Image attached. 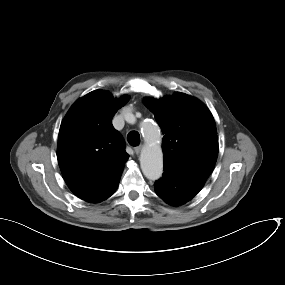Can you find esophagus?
I'll list each match as a JSON object with an SVG mask.
<instances>
[{
	"label": "esophagus",
	"mask_w": 285,
	"mask_h": 285,
	"mask_svg": "<svg viewBox=\"0 0 285 285\" xmlns=\"http://www.w3.org/2000/svg\"><path fill=\"white\" fill-rule=\"evenodd\" d=\"M141 150H142V145H139V146L134 147V152H135L136 154H139V153L141 152Z\"/></svg>",
	"instance_id": "esophagus-1"
}]
</instances>
